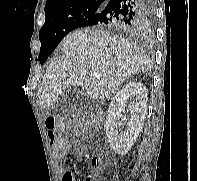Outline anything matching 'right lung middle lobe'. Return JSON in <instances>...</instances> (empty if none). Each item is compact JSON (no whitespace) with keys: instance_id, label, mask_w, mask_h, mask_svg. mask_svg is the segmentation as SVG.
<instances>
[{"instance_id":"obj_1","label":"right lung middle lobe","mask_w":197,"mask_h":181,"mask_svg":"<svg viewBox=\"0 0 197 181\" xmlns=\"http://www.w3.org/2000/svg\"><path fill=\"white\" fill-rule=\"evenodd\" d=\"M102 8L103 6L100 5H84L46 16L45 23L39 32L41 64L47 60L69 32L82 27L84 21L99 13Z\"/></svg>"}]
</instances>
